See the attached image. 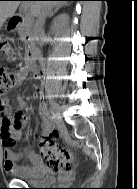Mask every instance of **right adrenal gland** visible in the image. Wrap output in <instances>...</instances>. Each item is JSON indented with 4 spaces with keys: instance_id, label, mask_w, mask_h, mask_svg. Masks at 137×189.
<instances>
[{
    "instance_id": "1",
    "label": "right adrenal gland",
    "mask_w": 137,
    "mask_h": 189,
    "mask_svg": "<svg viewBox=\"0 0 137 189\" xmlns=\"http://www.w3.org/2000/svg\"><path fill=\"white\" fill-rule=\"evenodd\" d=\"M63 3L58 4L53 12H50L49 17H53V15L63 6Z\"/></svg>"
}]
</instances>
